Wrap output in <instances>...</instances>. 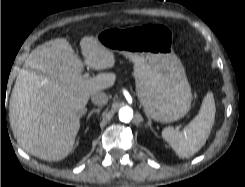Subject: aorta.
I'll list each match as a JSON object with an SVG mask.
<instances>
[{
	"label": "aorta",
	"instance_id": "obj_1",
	"mask_svg": "<svg viewBox=\"0 0 245 187\" xmlns=\"http://www.w3.org/2000/svg\"><path fill=\"white\" fill-rule=\"evenodd\" d=\"M133 118V110L130 107H123L119 110V119L123 122H130Z\"/></svg>",
	"mask_w": 245,
	"mask_h": 187
}]
</instances>
